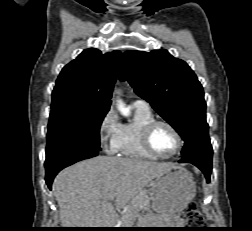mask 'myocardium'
Returning <instances> with one entry per match:
<instances>
[{
  "instance_id": "f54148a6",
  "label": "myocardium",
  "mask_w": 252,
  "mask_h": 231,
  "mask_svg": "<svg viewBox=\"0 0 252 231\" xmlns=\"http://www.w3.org/2000/svg\"><path fill=\"white\" fill-rule=\"evenodd\" d=\"M158 125L166 126L173 133V135L175 136V138L177 140L176 150L168 156H164V155L159 154L153 148L152 143H151L152 132H153L154 128ZM141 140H142L143 147L145 148V150L149 154H151L155 158L164 159V160L171 159V158H174L175 156H177L183 147V139H182L181 134L170 122H168L166 120L154 119V120L150 121L149 123H147L142 129Z\"/></svg>"
}]
</instances>
